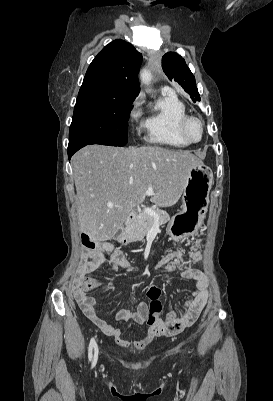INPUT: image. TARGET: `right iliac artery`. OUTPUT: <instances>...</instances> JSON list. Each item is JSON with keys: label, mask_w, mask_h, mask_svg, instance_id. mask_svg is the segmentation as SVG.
<instances>
[{"label": "right iliac artery", "mask_w": 273, "mask_h": 401, "mask_svg": "<svg viewBox=\"0 0 273 401\" xmlns=\"http://www.w3.org/2000/svg\"><path fill=\"white\" fill-rule=\"evenodd\" d=\"M93 348H94L95 350H96V348H97V344H96L94 338L91 339L90 344H89V349H88V358H89V361H92V358H93ZM96 361H97V354L95 353L94 359H93V365H95Z\"/></svg>", "instance_id": "obj_1"}]
</instances>
